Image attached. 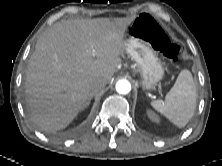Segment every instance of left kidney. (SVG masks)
I'll return each mask as SVG.
<instances>
[{"mask_svg": "<svg viewBox=\"0 0 222 166\" xmlns=\"http://www.w3.org/2000/svg\"><path fill=\"white\" fill-rule=\"evenodd\" d=\"M147 116L153 122H156V123L160 122L158 115L151 110H147Z\"/></svg>", "mask_w": 222, "mask_h": 166, "instance_id": "1", "label": "left kidney"}]
</instances>
